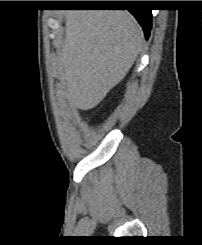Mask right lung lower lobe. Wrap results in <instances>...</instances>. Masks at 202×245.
<instances>
[{"instance_id": "obj_1", "label": "right lung lower lobe", "mask_w": 202, "mask_h": 245, "mask_svg": "<svg viewBox=\"0 0 202 245\" xmlns=\"http://www.w3.org/2000/svg\"><path fill=\"white\" fill-rule=\"evenodd\" d=\"M110 4V3H109ZM108 3H94L91 6H112V3L109 5ZM130 4H140V2L135 1L132 2ZM128 11H130V13L133 14V16L136 18V20L139 22V24L142 26L146 39H148L149 35H150V29H151V10L149 9H145L142 7H138V8H132L129 9Z\"/></svg>"}]
</instances>
